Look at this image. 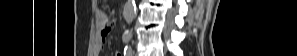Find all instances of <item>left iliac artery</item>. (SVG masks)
<instances>
[{"instance_id":"1","label":"left iliac artery","mask_w":297,"mask_h":56,"mask_svg":"<svg viewBox=\"0 0 297 56\" xmlns=\"http://www.w3.org/2000/svg\"><path fill=\"white\" fill-rule=\"evenodd\" d=\"M124 55L125 56H132V49L130 46H126L124 49Z\"/></svg>"}]
</instances>
